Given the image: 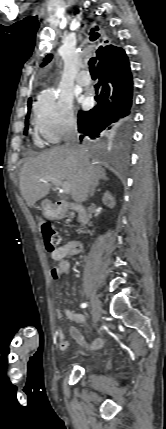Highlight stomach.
Masks as SVG:
<instances>
[{
	"instance_id": "stomach-1",
	"label": "stomach",
	"mask_w": 166,
	"mask_h": 429,
	"mask_svg": "<svg viewBox=\"0 0 166 429\" xmlns=\"http://www.w3.org/2000/svg\"><path fill=\"white\" fill-rule=\"evenodd\" d=\"M41 206L44 216L48 218H54L57 216V213L49 200H43Z\"/></svg>"
}]
</instances>
